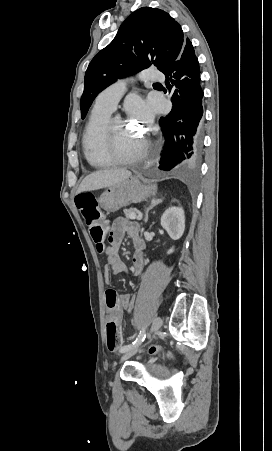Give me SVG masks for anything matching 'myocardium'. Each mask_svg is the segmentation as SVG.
Masks as SVG:
<instances>
[{"instance_id":"myocardium-1","label":"myocardium","mask_w":272,"mask_h":451,"mask_svg":"<svg viewBox=\"0 0 272 451\" xmlns=\"http://www.w3.org/2000/svg\"><path fill=\"white\" fill-rule=\"evenodd\" d=\"M118 117H109L106 122L104 123V126L101 130L100 138L101 140L106 144L107 148L112 152L113 148H117L115 141H114V135L112 131V123L115 119ZM140 146H136L133 149L128 150V152L117 158L116 160L118 162H130L133 159H135L139 153H140Z\"/></svg>"}]
</instances>
